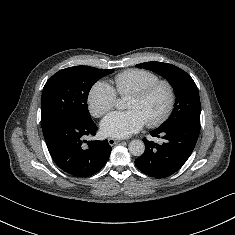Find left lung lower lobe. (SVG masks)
<instances>
[{
    "instance_id": "1",
    "label": "left lung lower lobe",
    "mask_w": 235,
    "mask_h": 235,
    "mask_svg": "<svg viewBox=\"0 0 235 235\" xmlns=\"http://www.w3.org/2000/svg\"><path fill=\"white\" fill-rule=\"evenodd\" d=\"M200 132V125L182 123L166 129L151 131L161 137L162 144L143 139L145 152L135 160L137 168L146 175L164 178L179 170L190 157Z\"/></svg>"
}]
</instances>
